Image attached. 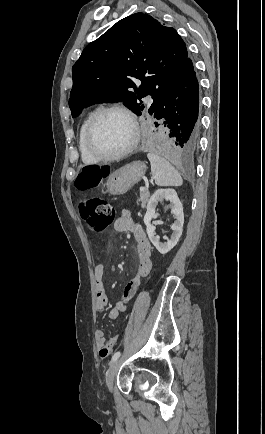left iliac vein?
<instances>
[{"mask_svg":"<svg viewBox=\"0 0 265 434\" xmlns=\"http://www.w3.org/2000/svg\"><path fill=\"white\" fill-rule=\"evenodd\" d=\"M118 368H119V360L117 359L116 361H114L112 363V365L110 366V368L106 374V378H105L106 386L110 392H112V385H113L116 373L118 371Z\"/></svg>","mask_w":265,"mask_h":434,"instance_id":"4c4485c4","label":"left iliac vein"}]
</instances>
